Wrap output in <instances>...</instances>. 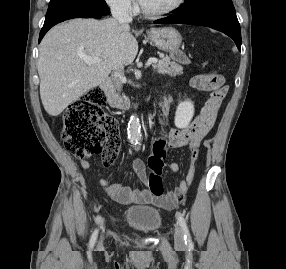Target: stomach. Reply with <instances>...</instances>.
Here are the masks:
<instances>
[{"instance_id": "1", "label": "stomach", "mask_w": 286, "mask_h": 269, "mask_svg": "<svg viewBox=\"0 0 286 269\" xmlns=\"http://www.w3.org/2000/svg\"><path fill=\"white\" fill-rule=\"evenodd\" d=\"M148 36L152 45L166 52L168 49H179L182 42L180 33L173 27L151 29Z\"/></svg>"}]
</instances>
